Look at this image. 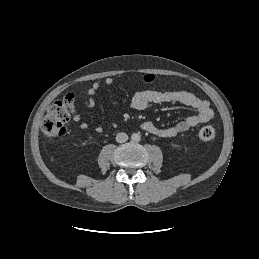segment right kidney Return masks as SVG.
Listing matches in <instances>:
<instances>
[{
    "label": "right kidney",
    "instance_id": "obj_1",
    "mask_svg": "<svg viewBox=\"0 0 259 259\" xmlns=\"http://www.w3.org/2000/svg\"><path fill=\"white\" fill-rule=\"evenodd\" d=\"M87 143H88V141H87V140H85V141L82 143V146L87 145Z\"/></svg>",
    "mask_w": 259,
    "mask_h": 259
}]
</instances>
